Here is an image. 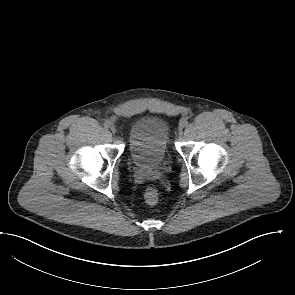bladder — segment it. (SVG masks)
<instances>
[{
  "label": "bladder",
  "instance_id": "bladder-1",
  "mask_svg": "<svg viewBox=\"0 0 295 295\" xmlns=\"http://www.w3.org/2000/svg\"><path fill=\"white\" fill-rule=\"evenodd\" d=\"M170 126L161 116H141L129 129L127 147L131 160L139 168L161 164L168 151Z\"/></svg>",
  "mask_w": 295,
  "mask_h": 295
}]
</instances>
